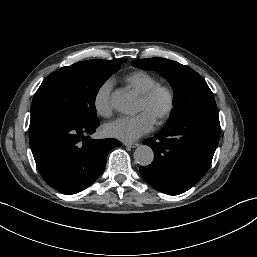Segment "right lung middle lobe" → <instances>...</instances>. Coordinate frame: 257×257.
<instances>
[{
    "instance_id": "obj_1",
    "label": "right lung middle lobe",
    "mask_w": 257,
    "mask_h": 257,
    "mask_svg": "<svg viewBox=\"0 0 257 257\" xmlns=\"http://www.w3.org/2000/svg\"><path fill=\"white\" fill-rule=\"evenodd\" d=\"M123 62L124 59H116L100 64L89 60L54 71L37 90L31 117L52 116L72 123L97 121V92Z\"/></svg>"
}]
</instances>
